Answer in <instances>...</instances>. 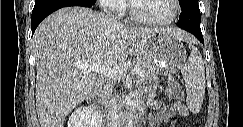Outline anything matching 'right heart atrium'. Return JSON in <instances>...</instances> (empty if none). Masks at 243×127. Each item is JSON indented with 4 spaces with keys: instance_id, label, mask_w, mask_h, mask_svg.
Here are the masks:
<instances>
[{
    "instance_id": "1",
    "label": "right heart atrium",
    "mask_w": 243,
    "mask_h": 127,
    "mask_svg": "<svg viewBox=\"0 0 243 127\" xmlns=\"http://www.w3.org/2000/svg\"><path fill=\"white\" fill-rule=\"evenodd\" d=\"M102 10L109 15H119L124 11L122 0H98Z\"/></svg>"
}]
</instances>
